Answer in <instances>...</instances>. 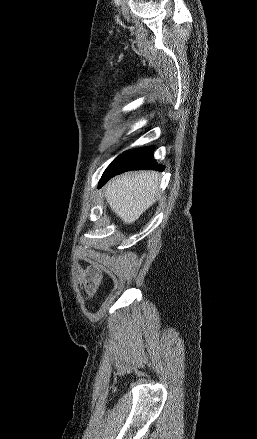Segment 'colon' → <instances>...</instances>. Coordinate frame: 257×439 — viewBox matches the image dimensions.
<instances>
[{"mask_svg":"<svg viewBox=\"0 0 257 439\" xmlns=\"http://www.w3.org/2000/svg\"><path fill=\"white\" fill-rule=\"evenodd\" d=\"M82 285L85 291L92 295L94 294L100 283H101V274L96 269H86L80 274Z\"/></svg>","mask_w":257,"mask_h":439,"instance_id":"1","label":"colon"}]
</instances>
